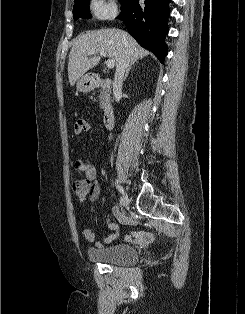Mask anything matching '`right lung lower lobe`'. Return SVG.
<instances>
[{
	"label": "right lung lower lobe",
	"mask_w": 245,
	"mask_h": 314,
	"mask_svg": "<svg viewBox=\"0 0 245 314\" xmlns=\"http://www.w3.org/2000/svg\"><path fill=\"white\" fill-rule=\"evenodd\" d=\"M170 0H129L118 16L123 20L129 33L146 49L164 61L167 46L164 38L168 33L167 17L169 16Z\"/></svg>",
	"instance_id": "right-lung-lower-lobe-1"
}]
</instances>
